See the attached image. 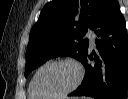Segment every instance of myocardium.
<instances>
[{"label": "myocardium", "mask_w": 128, "mask_h": 99, "mask_svg": "<svg viewBox=\"0 0 128 99\" xmlns=\"http://www.w3.org/2000/svg\"><path fill=\"white\" fill-rule=\"evenodd\" d=\"M56 64H69V65L73 66L76 71V74H77L75 82L66 90H64L60 93L54 94V95H38V94H36L35 90H34V85H35V81H36L39 73L42 70H44L45 68L52 66V65H56ZM83 78H84L83 69H82L81 65L76 60L71 59V58L56 59V60H53V61L43 64L41 67H39L37 69V71L35 72L32 80L30 82L29 90H30L31 95L34 96L35 98L43 97L45 99H57V98L67 96L70 93H72L73 91H75L82 83Z\"/></svg>", "instance_id": "1"}]
</instances>
